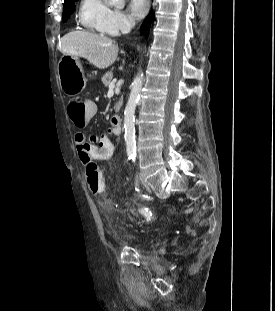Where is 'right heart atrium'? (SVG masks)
Listing matches in <instances>:
<instances>
[{"label":"right heart atrium","mask_w":275,"mask_h":311,"mask_svg":"<svg viewBox=\"0 0 275 311\" xmlns=\"http://www.w3.org/2000/svg\"><path fill=\"white\" fill-rule=\"evenodd\" d=\"M132 25L130 18L121 10L110 9L104 23L106 33L117 35L127 31Z\"/></svg>","instance_id":"obj_1"}]
</instances>
